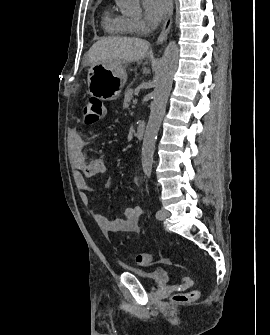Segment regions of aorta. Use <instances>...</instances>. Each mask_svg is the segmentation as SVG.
Returning a JSON list of instances; mask_svg holds the SVG:
<instances>
[{
	"instance_id": "aorta-1",
	"label": "aorta",
	"mask_w": 270,
	"mask_h": 335,
	"mask_svg": "<svg viewBox=\"0 0 270 335\" xmlns=\"http://www.w3.org/2000/svg\"><path fill=\"white\" fill-rule=\"evenodd\" d=\"M178 58V46L176 42H170L160 60L158 72L156 74L155 90L152 94L153 102L142 144V168L147 177H150L151 175L155 142L157 140V134L161 126L162 118L165 114V108L172 88L173 76L177 68Z\"/></svg>"
}]
</instances>
